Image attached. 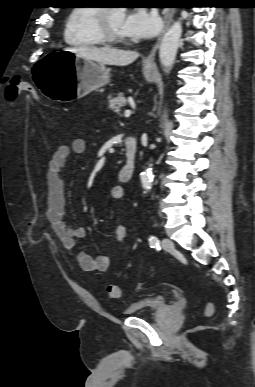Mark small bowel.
I'll return each instance as SVG.
<instances>
[{"instance_id": "c3829d8e", "label": "small bowel", "mask_w": 255, "mask_h": 387, "mask_svg": "<svg viewBox=\"0 0 255 387\" xmlns=\"http://www.w3.org/2000/svg\"><path fill=\"white\" fill-rule=\"evenodd\" d=\"M86 151L84 139L77 138L71 145H61L53 152L46 170L47 185V212L46 217L51 229L58 238L65 252L72 255L82 268L87 272L106 271L110 264V258L106 254L91 256L86 252L76 250V241L85 235L83 227H73L65 220L66 200L65 186L62 173L65 170L71 154H83ZM124 191L121 186L111 189V197L122 199ZM127 238V229L124 225H117L114 230V245H121Z\"/></svg>"}]
</instances>
